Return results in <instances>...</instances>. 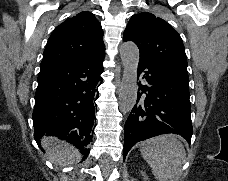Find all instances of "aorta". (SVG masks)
Listing matches in <instances>:
<instances>
[{
    "instance_id": "obj_1",
    "label": "aorta",
    "mask_w": 228,
    "mask_h": 181,
    "mask_svg": "<svg viewBox=\"0 0 228 181\" xmlns=\"http://www.w3.org/2000/svg\"><path fill=\"white\" fill-rule=\"evenodd\" d=\"M120 56L124 71L119 92V109L126 114L132 110L137 99L139 49L133 42H124L120 47Z\"/></svg>"
}]
</instances>
